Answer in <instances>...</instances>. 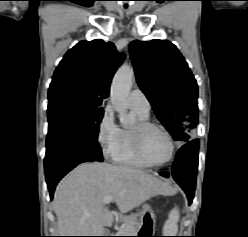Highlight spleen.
Masks as SVG:
<instances>
[{"mask_svg": "<svg viewBox=\"0 0 248 237\" xmlns=\"http://www.w3.org/2000/svg\"><path fill=\"white\" fill-rule=\"evenodd\" d=\"M179 210L174 208L168 217V220L164 224L163 233L167 236H176L178 231V221H179Z\"/></svg>", "mask_w": 248, "mask_h": 237, "instance_id": "3e777b00", "label": "spleen"}]
</instances>
